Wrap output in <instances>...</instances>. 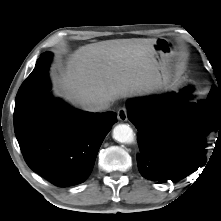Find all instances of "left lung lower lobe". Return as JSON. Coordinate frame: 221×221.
Wrapping results in <instances>:
<instances>
[{
	"mask_svg": "<svg viewBox=\"0 0 221 221\" xmlns=\"http://www.w3.org/2000/svg\"><path fill=\"white\" fill-rule=\"evenodd\" d=\"M171 93L128 102V118L138 130V169L160 182L179 181L206 164V136L218 132L221 143V87L212 86L207 100Z\"/></svg>",
	"mask_w": 221,
	"mask_h": 221,
	"instance_id": "obj_1",
	"label": "left lung lower lobe"
}]
</instances>
